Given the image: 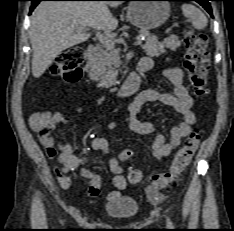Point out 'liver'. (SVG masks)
<instances>
[{
	"mask_svg": "<svg viewBox=\"0 0 234 231\" xmlns=\"http://www.w3.org/2000/svg\"><path fill=\"white\" fill-rule=\"evenodd\" d=\"M119 1H45L31 16L29 30L33 50L32 74L39 78L64 50L87 41L91 28L111 32L118 26L108 6L116 8Z\"/></svg>",
	"mask_w": 234,
	"mask_h": 231,
	"instance_id": "obj_1",
	"label": "liver"
}]
</instances>
